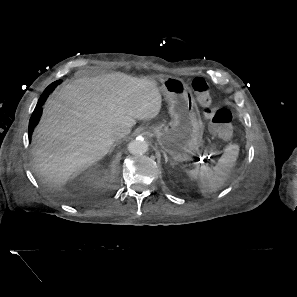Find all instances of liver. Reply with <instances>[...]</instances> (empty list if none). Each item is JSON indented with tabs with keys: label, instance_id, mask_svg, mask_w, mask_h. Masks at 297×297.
Masks as SVG:
<instances>
[{
	"label": "liver",
	"instance_id": "1",
	"mask_svg": "<svg viewBox=\"0 0 297 297\" xmlns=\"http://www.w3.org/2000/svg\"><path fill=\"white\" fill-rule=\"evenodd\" d=\"M162 97L155 80L121 72L79 78L49 99L33 142V168L47 186L64 193L69 178L101 160L116 127L156 117Z\"/></svg>",
	"mask_w": 297,
	"mask_h": 297
}]
</instances>
